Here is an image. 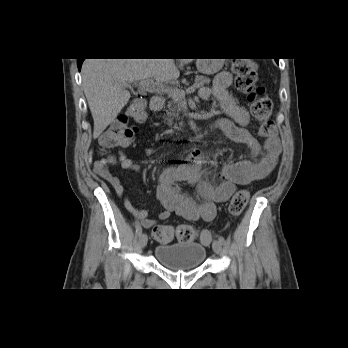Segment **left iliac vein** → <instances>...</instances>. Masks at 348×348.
I'll use <instances>...</instances> for the list:
<instances>
[{"label":"left iliac vein","instance_id":"1","mask_svg":"<svg viewBox=\"0 0 348 348\" xmlns=\"http://www.w3.org/2000/svg\"><path fill=\"white\" fill-rule=\"evenodd\" d=\"M212 248L216 254L220 255L222 253V243L219 240L213 242Z\"/></svg>","mask_w":348,"mask_h":348}]
</instances>
